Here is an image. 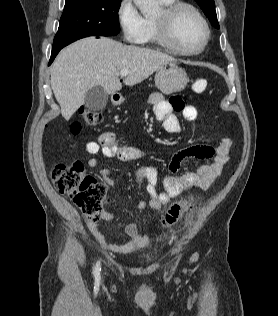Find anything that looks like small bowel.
Segmentation results:
<instances>
[{"label": "small bowel", "instance_id": "obj_1", "mask_svg": "<svg viewBox=\"0 0 278 316\" xmlns=\"http://www.w3.org/2000/svg\"><path fill=\"white\" fill-rule=\"evenodd\" d=\"M153 105L155 117L162 122L164 129L168 133H180L181 125L175 115V112H181L184 119L194 121L198 116V111L193 105H185L179 97H173L165 100L159 93H153L149 97ZM233 141L230 137L220 139L217 146L192 145L178 150L171 158L169 163V174L163 180L164 191L158 192L159 182L157 169L153 166L143 165L137 168L135 175L138 180H146L147 193L149 200L140 201L136 209L143 210L147 206L159 210L168 204L172 198H175L191 188L208 189L214 180L221 175L224 165L229 159V152ZM85 151L90 156L88 166L96 168L98 161L95 156L101 153L105 157L116 158L121 162L134 161L144 156V151L138 147L120 145L116 136L111 133H103L98 141H91L85 145ZM189 158L210 160V162L201 165L195 171H187L178 174L184 161ZM101 177L107 185L113 184V179L109 169L101 170ZM110 202L107 200L102 218L106 222H111L114 218L110 210ZM88 228L94 238L107 249L119 253L128 254L149 244V237L139 233V227L136 223H130L125 226L127 240L123 244H115L106 239L104 234L95 223H88Z\"/></svg>", "mask_w": 278, "mask_h": 316}]
</instances>
